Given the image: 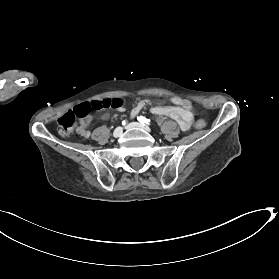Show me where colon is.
I'll list each match as a JSON object with an SVG mask.
<instances>
[{"mask_svg": "<svg viewBox=\"0 0 279 279\" xmlns=\"http://www.w3.org/2000/svg\"><path fill=\"white\" fill-rule=\"evenodd\" d=\"M181 105L189 111L191 114H195L197 111V104L187 98H179ZM123 105L121 98H105L101 100H95L92 102L81 103L75 106L72 110H69L58 119V130L64 136H69L74 133L79 119L87 117L92 110L104 109V108H118ZM197 129H203L206 126V122L203 119H198L195 122Z\"/></svg>", "mask_w": 279, "mask_h": 279, "instance_id": "5ec220e1", "label": "colon"}]
</instances>
